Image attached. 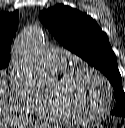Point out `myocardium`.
Returning a JSON list of instances; mask_svg holds the SVG:
<instances>
[{
  "label": "myocardium",
  "instance_id": "f54148a6",
  "mask_svg": "<svg viewBox=\"0 0 125 128\" xmlns=\"http://www.w3.org/2000/svg\"><path fill=\"white\" fill-rule=\"evenodd\" d=\"M82 71H88L96 75L104 87L106 102L104 107L95 114H83L77 111L72 107L65 95L67 85L70 83V81L76 74ZM52 95L59 109L70 119L80 123H89L101 119L109 112L112 105V92L110 83L98 69L85 64L77 65L64 71L59 77L57 81V87L53 89Z\"/></svg>",
  "mask_w": 125,
  "mask_h": 128
}]
</instances>
